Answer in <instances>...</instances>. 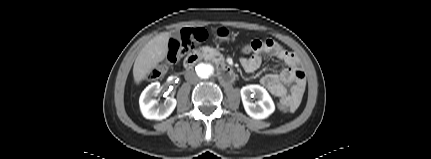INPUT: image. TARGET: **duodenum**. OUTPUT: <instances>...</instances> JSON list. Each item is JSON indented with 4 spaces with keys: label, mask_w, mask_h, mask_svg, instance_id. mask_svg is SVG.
<instances>
[{
    "label": "duodenum",
    "mask_w": 431,
    "mask_h": 159,
    "mask_svg": "<svg viewBox=\"0 0 431 159\" xmlns=\"http://www.w3.org/2000/svg\"><path fill=\"white\" fill-rule=\"evenodd\" d=\"M202 57L203 55L199 52L190 53L184 60L185 69L192 68ZM217 68L222 82L229 83L234 80L235 74L233 70L224 61L218 60Z\"/></svg>",
    "instance_id": "obj_1"
}]
</instances>
